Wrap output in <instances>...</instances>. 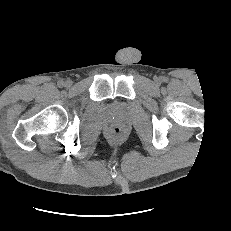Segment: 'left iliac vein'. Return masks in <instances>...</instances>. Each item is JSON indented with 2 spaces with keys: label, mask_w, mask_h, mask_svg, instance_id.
<instances>
[{
  "label": "left iliac vein",
  "mask_w": 231,
  "mask_h": 231,
  "mask_svg": "<svg viewBox=\"0 0 231 231\" xmlns=\"http://www.w3.org/2000/svg\"><path fill=\"white\" fill-rule=\"evenodd\" d=\"M155 82L158 84V83H160V79L159 78H156L155 79Z\"/></svg>",
  "instance_id": "4c4485c4"
}]
</instances>
